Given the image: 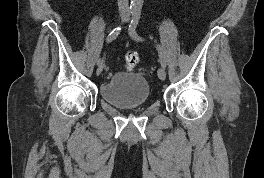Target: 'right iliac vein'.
Here are the masks:
<instances>
[{"instance_id": "right-iliac-vein-1", "label": "right iliac vein", "mask_w": 264, "mask_h": 178, "mask_svg": "<svg viewBox=\"0 0 264 178\" xmlns=\"http://www.w3.org/2000/svg\"><path fill=\"white\" fill-rule=\"evenodd\" d=\"M121 19H125V15L121 14ZM104 68V64L98 65V68L96 70V74L99 75L101 74V72L103 71Z\"/></svg>"}]
</instances>
